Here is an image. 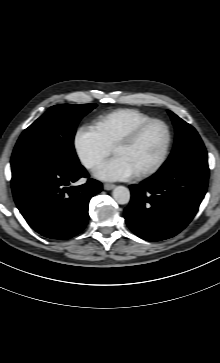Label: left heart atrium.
I'll use <instances>...</instances> for the list:
<instances>
[{"label":"left heart atrium","instance_id":"39dd6f15","mask_svg":"<svg viewBox=\"0 0 220 363\" xmlns=\"http://www.w3.org/2000/svg\"><path fill=\"white\" fill-rule=\"evenodd\" d=\"M94 175L101 180L119 181L134 177L136 172L123 157L115 155L99 165Z\"/></svg>","mask_w":220,"mask_h":363}]
</instances>
